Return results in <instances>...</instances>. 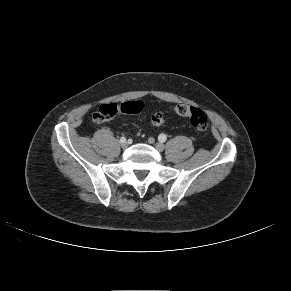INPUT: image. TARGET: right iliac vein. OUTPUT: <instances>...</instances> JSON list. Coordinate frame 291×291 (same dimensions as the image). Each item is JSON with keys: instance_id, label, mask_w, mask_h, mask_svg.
<instances>
[{"instance_id": "obj_1", "label": "right iliac vein", "mask_w": 291, "mask_h": 291, "mask_svg": "<svg viewBox=\"0 0 291 291\" xmlns=\"http://www.w3.org/2000/svg\"><path fill=\"white\" fill-rule=\"evenodd\" d=\"M121 147H122L123 149H126V148L128 147V143H127V142L122 143V144H121Z\"/></svg>"}]
</instances>
